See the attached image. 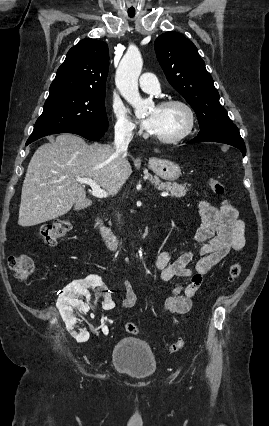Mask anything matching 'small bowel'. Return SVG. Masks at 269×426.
I'll use <instances>...</instances> for the list:
<instances>
[{
  "mask_svg": "<svg viewBox=\"0 0 269 426\" xmlns=\"http://www.w3.org/2000/svg\"><path fill=\"white\" fill-rule=\"evenodd\" d=\"M198 206L201 224L195 239L200 245V259L194 267H190L193 259L190 250L181 252L176 258H173L170 251H161L156 256L155 266L161 280L183 279V282L175 283L172 295L161 304V308L170 313L189 312L203 276L209 274L230 252H238L246 244L245 224L232 204L223 201L219 207H215L200 201ZM123 287L125 298L122 306L126 309L135 307L138 297L128 279L123 280Z\"/></svg>",
  "mask_w": 269,
  "mask_h": 426,
  "instance_id": "1",
  "label": "small bowel"
}]
</instances>
